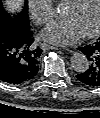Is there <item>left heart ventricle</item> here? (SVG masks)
I'll use <instances>...</instances> for the list:
<instances>
[{"mask_svg":"<svg viewBox=\"0 0 100 118\" xmlns=\"http://www.w3.org/2000/svg\"><path fill=\"white\" fill-rule=\"evenodd\" d=\"M100 0H83L78 6L68 4L65 9V17L74 20L82 33L93 30L98 22Z\"/></svg>","mask_w":100,"mask_h":118,"instance_id":"1","label":"left heart ventricle"}]
</instances>
